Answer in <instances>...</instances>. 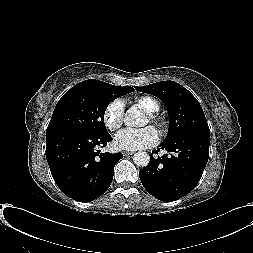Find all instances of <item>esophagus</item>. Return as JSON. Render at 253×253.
I'll list each match as a JSON object with an SVG mask.
<instances>
[{"instance_id": "obj_1", "label": "esophagus", "mask_w": 253, "mask_h": 253, "mask_svg": "<svg viewBox=\"0 0 253 253\" xmlns=\"http://www.w3.org/2000/svg\"><path fill=\"white\" fill-rule=\"evenodd\" d=\"M132 154H134L133 151H126V152H123V155H124V156H129V155H132Z\"/></svg>"}]
</instances>
